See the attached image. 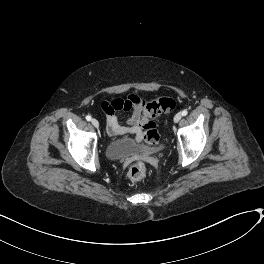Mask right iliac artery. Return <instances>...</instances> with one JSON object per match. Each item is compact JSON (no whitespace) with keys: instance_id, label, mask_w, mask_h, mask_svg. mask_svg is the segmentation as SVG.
Returning a JSON list of instances; mask_svg holds the SVG:
<instances>
[{"instance_id":"right-iliac-artery-1","label":"right iliac artery","mask_w":264,"mask_h":264,"mask_svg":"<svg viewBox=\"0 0 264 264\" xmlns=\"http://www.w3.org/2000/svg\"><path fill=\"white\" fill-rule=\"evenodd\" d=\"M91 119H92L91 116H89V115L86 116L87 121H91Z\"/></svg>"}]
</instances>
